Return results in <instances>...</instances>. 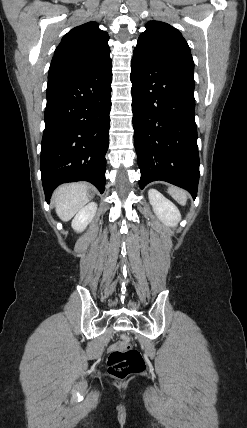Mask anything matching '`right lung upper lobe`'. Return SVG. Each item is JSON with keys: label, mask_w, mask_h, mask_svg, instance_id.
Returning <instances> with one entry per match:
<instances>
[{"label": "right lung upper lobe", "mask_w": 247, "mask_h": 428, "mask_svg": "<svg viewBox=\"0 0 247 428\" xmlns=\"http://www.w3.org/2000/svg\"><path fill=\"white\" fill-rule=\"evenodd\" d=\"M107 32L96 22L70 30L61 40L52 59L48 82L85 73L110 58Z\"/></svg>", "instance_id": "cb5924a9"}]
</instances>
